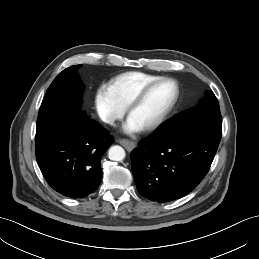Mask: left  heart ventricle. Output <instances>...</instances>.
<instances>
[{
	"mask_svg": "<svg viewBox=\"0 0 259 259\" xmlns=\"http://www.w3.org/2000/svg\"><path fill=\"white\" fill-rule=\"evenodd\" d=\"M174 96L175 86L171 82L160 83L154 86L142 102L132 110L130 117L143 128L162 114Z\"/></svg>",
	"mask_w": 259,
	"mask_h": 259,
	"instance_id": "b2bd125f",
	"label": "left heart ventricle"
}]
</instances>
